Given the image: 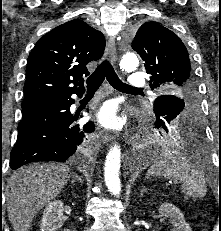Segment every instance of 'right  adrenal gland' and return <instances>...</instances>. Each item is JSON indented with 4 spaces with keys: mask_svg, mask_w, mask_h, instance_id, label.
I'll return each mask as SVG.
<instances>
[{
    "mask_svg": "<svg viewBox=\"0 0 221 231\" xmlns=\"http://www.w3.org/2000/svg\"><path fill=\"white\" fill-rule=\"evenodd\" d=\"M76 181H79L80 183L83 182L80 176H78L75 173H72V180H71L72 185H74Z\"/></svg>",
    "mask_w": 221,
    "mask_h": 231,
    "instance_id": "1",
    "label": "right adrenal gland"
}]
</instances>
